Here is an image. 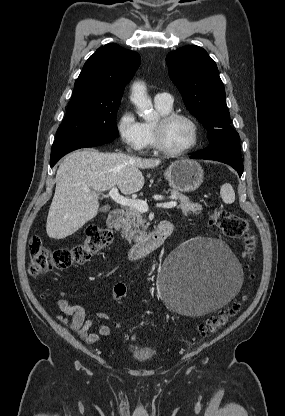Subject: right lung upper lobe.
Returning <instances> with one entry per match:
<instances>
[{
    "instance_id": "obj_1",
    "label": "right lung upper lobe",
    "mask_w": 285,
    "mask_h": 416,
    "mask_svg": "<svg viewBox=\"0 0 285 416\" xmlns=\"http://www.w3.org/2000/svg\"><path fill=\"white\" fill-rule=\"evenodd\" d=\"M139 65L137 52L115 43L102 46L86 61L71 99L91 102L120 100L126 83Z\"/></svg>"
}]
</instances>
